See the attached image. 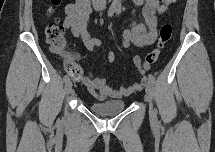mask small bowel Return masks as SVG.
Wrapping results in <instances>:
<instances>
[{"label": "small bowel", "mask_w": 215, "mask_h": 152, "mask_svg": "<svg viewBox=\"0 0 215 152\" xmlns=\"http://www.w3.org/2000/svg\"><path fill=\"white\" fill-rule=\"evenodd\" d=\"M137 5L142 6V14L145 24L133 22L129 29L122 32V47L129 48L132 44L140 47H148L157 39V17L156 13L159 7L158 0H135ZM92 11L91 3L88 0H75L66 6V18L64 27L74 36L78 37L87 50L93 52L100 48L102 42L100 39L92 37L86 30L87 21ZM108 62L114 60V54L109 52L106 56ZM134 62H140L139 56L133 57ZM83 83L89 92L97 99L121 98L139 91L145 81L141 80L131 86L114 88L110 86L105 79L98 78L93 73L81 74L76 78Z\"/></svg>", "instance_id": "c3829d8e"}]
</instances>
